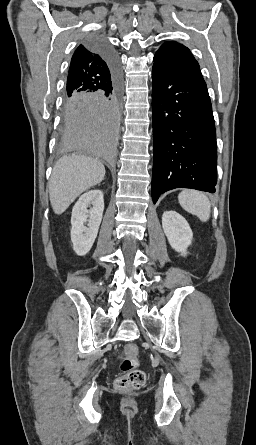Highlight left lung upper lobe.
<instances>
[{
    "label": "left lung upper lobe",
    "mask_w": 256,
    "mask_h": 445,
    "mask_svg": "<svg viewBox=\"0 0 256 445\" xmlns=\"http://www.w3.org/2000/svg\"><path fill=\"white\" fill-rule=\"evenodd\" d=\"M161 65L194 81L205 83L198 62L190 50L174 41L164 43L154 56V65Z\"/></svg>",
    "instance_id": "obj_1"
}]
</instances>
